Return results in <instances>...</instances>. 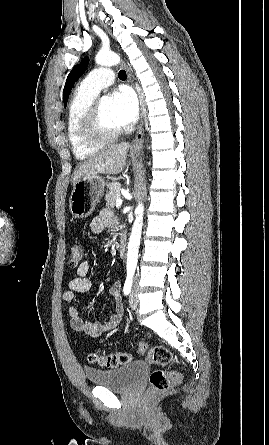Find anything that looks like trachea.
Masks as SVG:
<instances>
[{
  "mask_svg": "<svg viewBox=\"0 0 269 445\" xmlns=\"http://www.w3.org/2000/svg\"><path fill=\"white\" fill-rule=\"evenodd\" d=\"M118 76L121 80H125L127 78L126 72L124 70H120Z\"/></svg>",
  "mask_w": 269,
  "mask_h": 445,
  "instance_id": "obj_1",
  "label": "trachea"
}]
</instances>
